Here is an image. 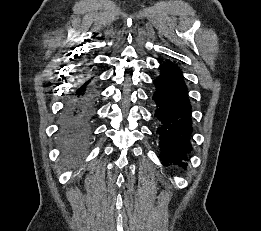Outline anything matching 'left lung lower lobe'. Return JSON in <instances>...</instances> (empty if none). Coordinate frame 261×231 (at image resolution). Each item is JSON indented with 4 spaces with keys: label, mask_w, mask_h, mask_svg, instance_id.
Segmentation results:
<instances>
[{
    "label": "left lung lower lobe",
    "mask_w": 261,
    "mask_h": 231,
    "mask_svg": "<svg viewBox=\"0 0 261 231\" xmlns=\"http://www.w3.org/2000/svg\"><path fill=\"white\" fill-rule=\"evenodd\" d=\"M160 75L154 80L153 100L158 121L160 160L164 165L185 169L191 152L193 131L188 89L180 68L174 63L159 66Z\"/></svg>",
    "instance_id": "0a47b994"
}]
</instances>
